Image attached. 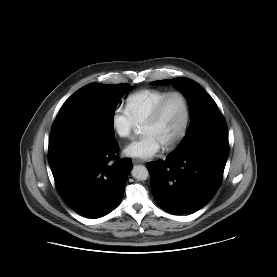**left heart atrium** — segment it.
<instances>
[{"label": "left heart atrium", "mask_w": 277, "mask_h": 277, "mask_svg": "<svg viewBox=\"0 0 277 277\" xmlns=\"http://www.w3.org/2000/svg\"><path fill=\"white\" fill-rule=\"evenodd\" d=\"M163 145L152 134H144L141 138L132 141L124 148V154L136 159H149L158 154Z\"/></svg>", "instance_id": "39dd6f15"}]
</instances>
